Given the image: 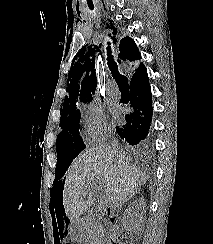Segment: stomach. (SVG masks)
Masks as SVG:
<instances>
[{"mask_svg":"<svg viewBox=\"0 0 213 244\" xmlns=\"http://www.w3.org/2000/svg\"><path fill=\"white\" fill-rule=\"evenodd\" d=\"M70 234L77 241L83 240L86 235L84 221H73L70 227Z\"/></svg>","mask_w":213,"mask_h":244,"instance_id":"stomach-1","label":"stomach"}]
</instances>
